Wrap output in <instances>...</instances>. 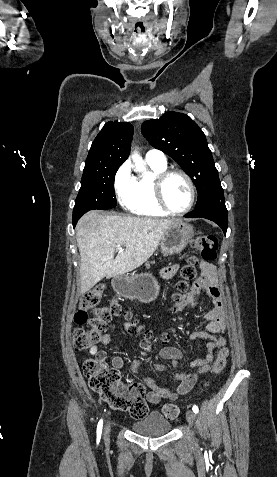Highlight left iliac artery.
I'll use <instances>...</instances> for the list:
<instances>
[{
	"label": "left iliac artery",
	"instance_id": "obj_1",
	"mask_svg": "<svg viewBox=\"0 0 277 477\" xmlns=\"http://www.w3.org/2000/svg\"><path fill=\"white\" fill-rule=\"evenodd\" d=\"M192 410L194 411V413H198V411H199V409H198V407H197L196 405H194V406L192 407Z\"/></svg>",
	"mask_w": 277,
	"mask_h": 477
}]
</instances>
